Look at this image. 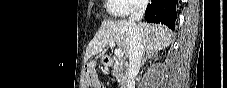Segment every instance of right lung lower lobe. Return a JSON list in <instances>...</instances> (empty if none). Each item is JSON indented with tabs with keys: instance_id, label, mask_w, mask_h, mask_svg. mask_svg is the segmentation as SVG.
Returning a JSON list of instances; mask_svg holds the SVG:
<instances>
[{
	"instance_id": "98d812e1",
	"label": "right lung lower lobe",
	"mask_w": 227,
	"mask_h": 88,
	"mask_svg": "<svg viewBox=\"0 0 227 88\" xmlns=\"http://www.w3.org/2000/svg\"><path fill=\"white\" fill-rule=\"evenodd\" d=\"M177 0H152L145 14L149 23H161L175 29Z\"/></svg>"
}]
</instances>
